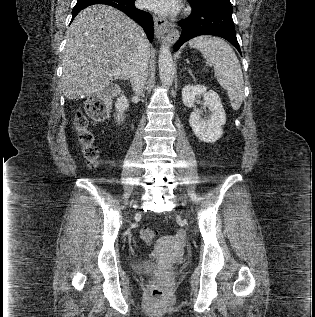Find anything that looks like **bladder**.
Listing matches in <instances>:
<instances>
[{
	"instance_id": "obj_1",
	"label": "bladder",
	"mask_w": 315,
	"mask_h": 317,
	"mask_svg": "<svg viewBox=\"0 0 315 317\" xmlns=\"http://www.w3.org/2000/svg\"><path fill=\"white\" fill-rule=\"evenodd\" d=\"M133 268L142 273H151L157 269V263L151 260H136L133 262Z\"/></svg>"
}]
</instances>
